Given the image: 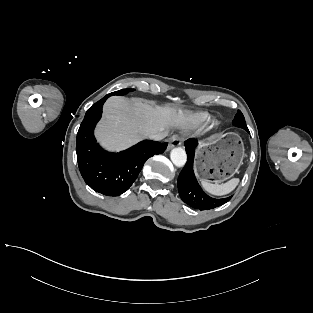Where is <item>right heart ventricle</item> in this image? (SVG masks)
I'll list each match as a JSON object with an SVG mask.
<instances>
[{
    "instance_id": "right-heart-ventricle-1",
    "label": "right heart ventricle",
    "mask_w": 313,
    "mask_h": 313,
    "mask_svg": "<svg viewBox=\"0 0 313 313\" xmlns=\"http://www.w3.org/2000/svg\"><path fill=\"white\" fill-rule=\"evenodd\" d=\"M205 118H206V116H204V115L191 116V117L188 119V123H189V124H197V123L203 121Z\"/></svg>"
}]
</instances>
